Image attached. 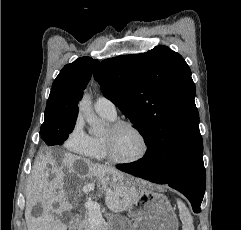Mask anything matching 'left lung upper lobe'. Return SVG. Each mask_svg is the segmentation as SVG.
Instances as JSON below:
<instances>
[{
	"instance_id": "obj_1",
	"label": "left lung upper lobe",
	"mask_w": 241,
	"mask_h": 230,
	"mask_svg": "<svg viewBox=\"0 0 241 230\" xmlns=\"http://www.w3.org/2000/svg\"><path fill=\"white\" fill-rule=\"evenodd\" d=\"M94 77L147 147L163 145L172 167L203 152L195 84L181 55L157 46L147 53L109 58L99 64Z\"/></svg>"
}]
</instances>
